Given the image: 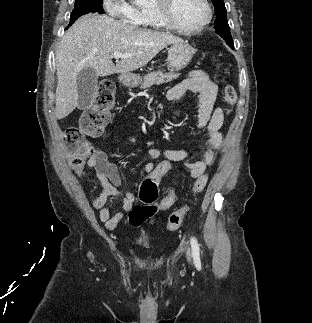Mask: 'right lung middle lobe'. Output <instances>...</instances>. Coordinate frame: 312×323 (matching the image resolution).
<instances>
[{
  "label": "right lung middle lobe",
  "instance_id": "dd1d6c3e",
  "mask_svg": "<svg viewBox=\"0 0 312 323\" xmlns=\"http://www.w3.org/2000/svg\"><path fill=\"white\" fill-rule=\"evenodd\" d=\"M89 12L103 14L102 0H75V8L71 13L69 26L80 16L88 14Z\"/></svg>",
  "mask_w": 312,
  "mask_h": 323
}]
</instances>
